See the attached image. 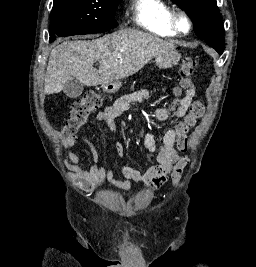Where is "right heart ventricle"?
<instances>
[{
    "label": "right heart ventricle",
    "instance_id": "e07e8e85",
    "mask_svg": "<svg viewBox=\"0 0 256 267\" xmlns=\"http://www.w3.org/2000/svg\"><path fill=\"white\" fill-rule=\"evenodd\" d=\"M157 0H140L139 6L153 9L154 16L146 22H140L141 27L153 36H178L171 22L172 13L168 9H159L154 6Z\"/></svg>",
    "mask_w": 256,
    "mask_h": 267
}]
</instances>
